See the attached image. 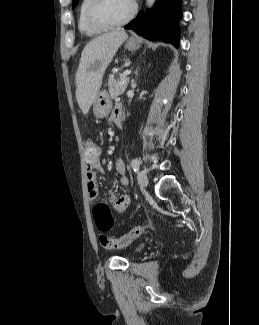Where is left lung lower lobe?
I'll return each mask as SVG.
<instances>
[{"label": "left lung lower lobe", "instance_id": "obj_1", "mask_svg": "<svg viewBox=\"0 0 259 325\" xmlns=\"http://www.w3.org/2000/svg\"><path fill=\"white\" fill-rule=\"evenodd\" d=\"M181 17V0H157L151 10L139 12L125 29H132L149 40H162L178 46Z\"/></svg>", "mask_w": 259, "mask_h": 325}]
</instances>
